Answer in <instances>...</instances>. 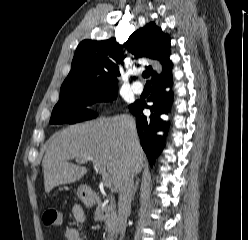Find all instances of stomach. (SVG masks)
Returning <instances> with one entry per match:
<instances>
[{"instance_id": "stomach-1", "label": "stomach", "mask_w": 248, "mask_h": 240, "mask_svg": "<svg viewBox=\"0 0 248 240\" xmlns=\"http://www.w3.org/2000/svg\"><path fill=\"white\" fill-rule=\"evenodd\" d=\"M77 195L85 203L90 202L92 199L90 191L86 186H80L78 188Z\"/></svg>"}]
</instances>
